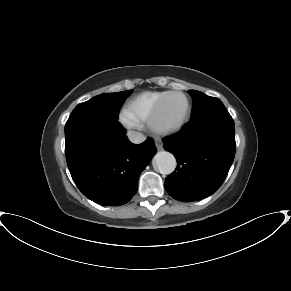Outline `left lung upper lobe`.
I'll use <instances>...</instances> for the list:
<instances>
[{
    "label": "left lung upper lobe",
    "instance_id": "obj_1",
    "mask_svg": "<svg viewBox=\"0 0 291 291\" xmlns=\"http://www.w3.org/2000/svg\"><path fill=\"white\" fill-rule=\"evenodd\" d=\"M193 99L191 119L204 115L211 110L224 106L220 99L208 96L200 91H188Z\"/></svg>",
    "mask_w": 291,
    "mask_h": 291
}]
</instances>
